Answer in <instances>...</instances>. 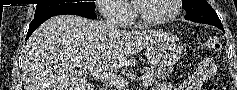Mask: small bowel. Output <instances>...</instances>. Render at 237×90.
<instances>
[{
	"mask_svg": "<svg viewBox=\"0 0 237 90\" xmlns=\"http://www.w3.org/2000/svg\"><path fill=\"white\" fill-rule=\"evenodd\" d=\"M214 72V65L210 62H204L199 65L193 75L184 80L180 85L163 82L155 90H201L203 82L210 79Z\"/></svg>",
	"mask_w": 237,
	"mask_h": 90,
	"instance_id": "c3829d8e",
	"label": "small bowel"
}]
</instances>
